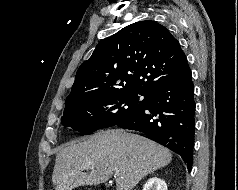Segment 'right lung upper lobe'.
Here are the masks:
<instances>
[{"mask_svg": "<svg viewBox=\"0 0 238 190\" xmlns=\"http://www.w3.org/2000/svg\"><path fill=\"white\" fill-rule=\"evenodd\" d=\"M187 65L179 42L166 27L151 20L133 23L102 40L81 64L65 109L81 95L147 96Z\"/></svg>", "mask_w": 238, "mask_h": 190, "instance_id": "cb5924a9", "label": "right lung upper lobe"}]
</instances>
